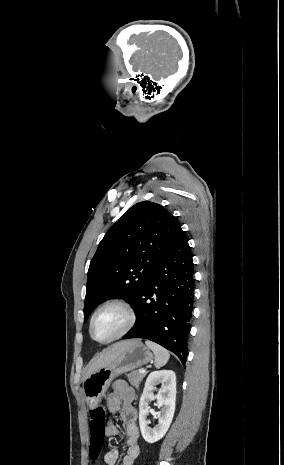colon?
<instances>
[{"label":"colon","mask_w":284,"mask_h":465,"mask_svg":"<svg viewBox=\"0 0 284 465\" xmlns=\"http://www.w3.org/2000/svg\"><path fill=\"white\" fill-rule=\"evenodd\" d=\"M97 410H99V407L96 405L90 406V411L96 413H90V421H88L87 424L89 430L88 435L91 440L90 446L86 448V453L89 455V461L91 462H97L99 460L101 448L105 447V440L101 438H106V430L108 428V423L105 421V413H99Z\"/></svg>","instance_id":"obj_1"}]
</instances>
